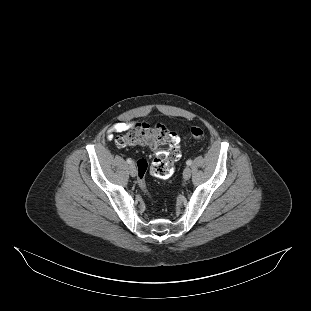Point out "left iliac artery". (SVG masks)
I'll use <instances>...</instances> for the list:
<instances>
[{"mask_svg":"<svg viewBox=\"0 0 311 311\" xmlns=\"http://www.w3.org/2000/svg\"><path fill=\"white\" fill-rule=\"evenodd\" d=\"M186 164H187L188 166H190V165L192 164V160H187V161H186Z\"/></svg>","mask_w":311,"mask_h":311,"instance_id":"left-iliac-artery-1","label":"left iliac artery"}]
</instances>
